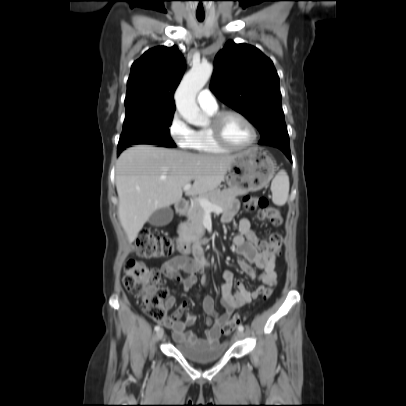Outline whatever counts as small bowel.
Here are the masks:
<instances>
[{"label":"small bowel","mask_w":406,"mask_h":406,"mask_svg":"<svg viewBox=\"0 0 406 406\" xmlns=\"http://www.w3.org/2000/svg\"><path fill=\"white\" fill-rule=\"evenodd\" d=\"M238 209L236 201H232L229 208L222 216V223L228 224L233 221ZM236 254L244 257L246 262H240V269L251 279H257L259 285L249 291L243 282H236V290H233L235 281L231 271L223 272L224 283L221 288V303L225 312L220 314L215 307V301L211 297L204 300L203 308L207 314L208 330L202 337L188 332L186 329L196 321V316L187 311V303H182L171 315L166 316L163 324L172 329L176 342L189 344L196 347L215 345L219 343L221 328L228 321L236 309L250 304L257 299L267 286H274L277 280L274 254L267 256L259 248V238L255 234L249 218L244 217L238 222V233L233 237ZM194 258L176 256L161 267V273L168 279L178 282L185 291H189L196 283L197 277L209 266L200 247L193 248ZM259 271V272H258ZM185 273V276L181 275ZM175 298L169 297L165 305L173 307ZM185 314V319L182 316Z\"/></svg>","instance_id":"1"}]
</instances>
